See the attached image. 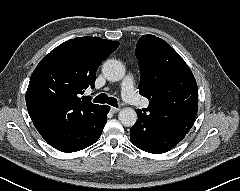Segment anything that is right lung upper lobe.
Here are the masks:
<instances>
[{"label": "right lung upper lobe", "mask_w": 240, "mask_h": 191, "mask_svg": "<svg viewBox=\"0 0 240 191\" xmlns=\"http://www.w3.org/2000/svg\"><path fill=\"white\" fill-rule=\"evenodd\" d=\"M119 46L100 37H77L47 54L33 71L26 92V105L36 128L57 119H79L97 110L90 97L96 71Z\"/></svg>", "instance_id": "right-lung-upper-lobe-1"}]
</instances>
